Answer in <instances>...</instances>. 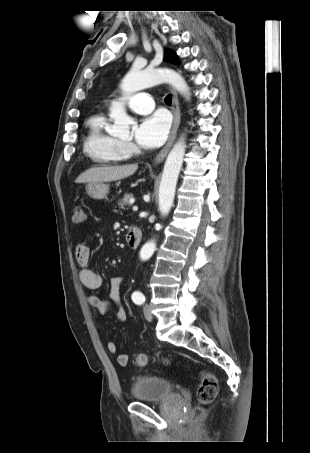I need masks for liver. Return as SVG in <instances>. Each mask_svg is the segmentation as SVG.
I'll list each match as a JSON object with an SVG mask.
<instances>
[{
    "label": "liver",
    "mask_w": 310,
    "mask_h": 453,
    "mask_svg": "<svg viewBox=\"0 0 310 453\" xmlns=\"http://www.w3.org/2000/svg\"><path fill=\"white\" fill-rule=\"evenodd\" d=\"M138 169V164L123 166H98L91 167L81 173L75 180L76 183L112 182L133 175Z\"/></svg>",
    "instance_id": "obj_1"
}]
</instances>
